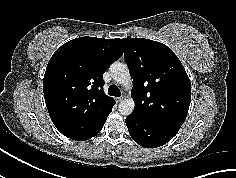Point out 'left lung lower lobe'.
<instances>
[{"label": "left lung lower lobe", "mask_w": 236, "mask_h": 178, "mask_svg": "<svg viewBox=\"0 0 236 178\" xmlns=\"http://www.w3.org/2000/svg\"><path fill=\"white\" fill-rule=\"evenodd\" d=\"M132 139L144 148H156L170 141L178 128L154 123L145 118L129 115L125 119Z\"/></svg>", "instance_id": "0a47b994"}]
</instances>
